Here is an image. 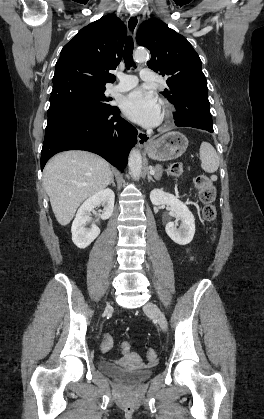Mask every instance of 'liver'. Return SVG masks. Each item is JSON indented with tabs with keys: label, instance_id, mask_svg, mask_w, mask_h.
Listing matches in <instances>:
<instances>
[{
	"label": "liver",
	"instance_id": "6515ba94",
	"mask_svg": "<svg viewBox=\"0 0 264 419\" xmlns=\"http://www.w3.org/2000/svg\"><path fill=\"white\" fill-rule=\"evenodd\" d=\"M109 163L87 151H66L51 158L44 168V188L59 224L66 226L88 197L111 181Z\"/></svg>",
	"mask_w": 264,
	"mask_h": 419
}]
</instances>
